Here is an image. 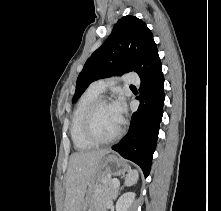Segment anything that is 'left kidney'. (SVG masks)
Wrapping results in <instances>:
<instances>
[{
	"label": "left kidney",
	"instance_id": "left-kidney-1",
	"mask_svg": "<svg viewBox=\"0 0 221 211\" xmlns=\"http://www.w3.org/2000/svg\"><path fill=\"white\" fill-rule=\"evenodd\" d=\"M135 198L134 192H126L116 202V211H128Z\"/></svg>",
	"mask_w": 221,
	"mask_h": 211
}]
</instances>
